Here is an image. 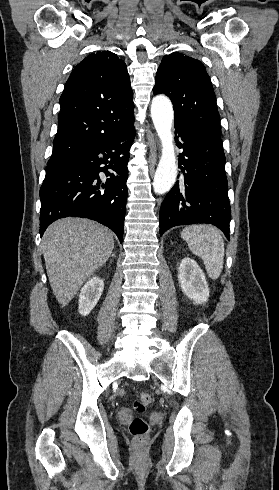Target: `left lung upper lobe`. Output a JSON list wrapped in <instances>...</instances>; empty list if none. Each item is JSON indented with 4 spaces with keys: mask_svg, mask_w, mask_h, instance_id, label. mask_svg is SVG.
Listing matches in <instances>:
<instances>
[{
    "mask_svg": "<svg viewBox=\"0 0 279 490\" xmlns=\"http://www.w3.org/2000/svg\"><path fill=\"white\" fill-rule=\"evenodd\" d=\"M153 92L170 97L175 122L221 135L216 96L205 66L199 60L179 53L164 56Z\"/></svg>",
    "mask_w": 279,
    "mask_h": 490,
    "instance_id": "1",
    "label": "left lung upper lobe"
}]
</instances>
